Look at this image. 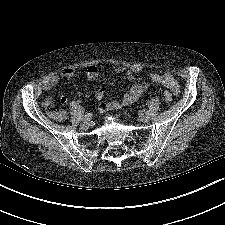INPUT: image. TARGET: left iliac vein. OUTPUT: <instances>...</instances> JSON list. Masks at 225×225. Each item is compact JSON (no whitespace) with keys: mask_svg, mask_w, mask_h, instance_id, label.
I'll list each match as a JSON object with an SVG mask.
<instances>
[{"mask_svg":"<svg viewBox=\"0 0 225 225\" xmlns=\"http://www.w3.org/2000/svg\"><path fill=\"white\" fill-rule=\"evenodd\" d=\"M140 120H141L142 122H147V121L150 120V116H149V115H145V114H141V115H140Z\"/></svg>","mask_w":225,"mask_h":225,"instance_id":"left-iliac-vein-1","label":"left iliac vein"}]
</instances>
